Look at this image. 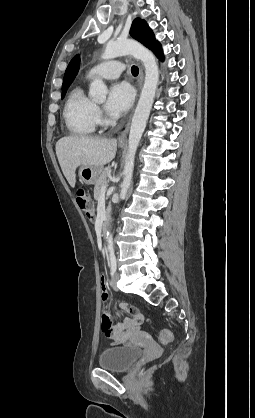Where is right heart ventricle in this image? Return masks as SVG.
I'll return each mask as SVG.
<instances>
[{
    "label": "right heart ventricle",
    "mask_w": 255,
    "mask_h": 418,
    "mask_svg": "<svg viewBox=\"0 0 255 418\" xmlns=\"http://www.w3.org/2000/svg\"><path fill=\"white\" fill-rule=\"evenodd\" d=\"M95 104L85 94L82 85H76L66 99L63 117L69 132L76 136L92 134L96 128Z\"/></svg>",
    "instance_id": "right-heart-ventricle-1"
}]
</instances>
